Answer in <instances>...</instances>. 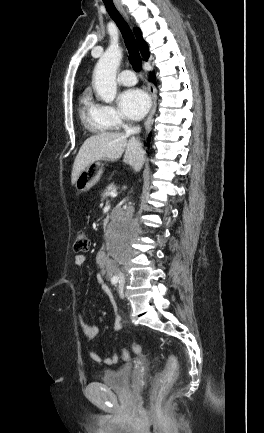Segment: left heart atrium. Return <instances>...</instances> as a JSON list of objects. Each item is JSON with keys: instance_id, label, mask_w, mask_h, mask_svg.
Segmentation results:
<instances>
[{"instance_id": "39dd6f15", "label": "left heart atrium", "mask_w": 264, "mask_h": 433, "mask_svg": "<svg viewBox=\"0 0 264 433\" xmlns=\"http://www.w3.org/2000/svg\"><path fill=\"white\" fill-rule=\"evenodd\" d=\"M118 105L124 117L139 120L146 114L150 102L144 91L129 89L119 95Z\"/></svg>"}]
</instances>
